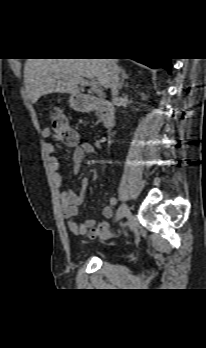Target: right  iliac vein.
Listing matches in <instances>:
<instances>
[{
	"mask_svg": "<svg viewBox=\"0 0 206 348\" xmlns=\"http://www.w3.org/2000/svg\"><path fill=\"white\" fill-rule=\"evenodd\" d=\"M128 211H129V209H128L127 204L123 203V204L119 207V209H118V211H117V213H116V218H115V220L118 221V220L122 219L123 217H125L126 214L128 213Z\"/></svg>",
	"mask_w": 206,
	"mask_h": 348,
	"instance_id": "right-iliac-vein-1",
	"label": "right iliac vein"
}]
</instances>
